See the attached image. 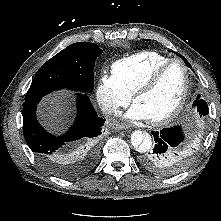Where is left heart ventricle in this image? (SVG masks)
Masks as SVG:
<instances>
[{
    "label": "left heart ventricle",
    "mask_w": 221,
    "mask_h": 221,
    "mask_svg": "<svg viewBox=\"0 0 221 221\" xmlns=\"http://www.w3.org/2000/svg\"><path fill=\"white\" fill-rule=\"evenodd\" d=\"M186 84L185 71L180 63L172 64L162 75L157 85L139 96L140 105L149 119H157L171 112L180 101Z\"/></svg>",
    "instance_id": "1"
}]
</instances>
